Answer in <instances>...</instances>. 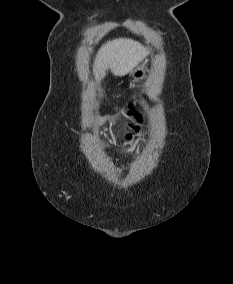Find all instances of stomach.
Returning a JSON list of instances; mask_svg holds the SVG:
<instances>
[{
    "instance_id": "stomach-1",
    "label": "stomach",
    "mask_w": 233,
    "mask_h": 284,
    "mask_svg": "<svg viewBox=\"0 0 233 284\" xmlns=\"http://www.w3.org/2000/svg\"><path fill=\"white\" fill-rule=\"evenodd\" d=\"M147 62H143L138 64L131 72H130V79L133 83L139 82L142 80L147 73Z\"/></svg>"
}]
</instances>
